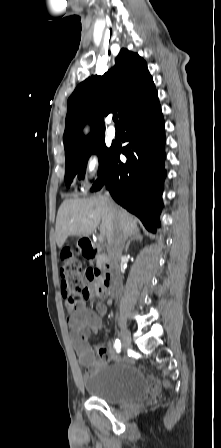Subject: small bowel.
<instances>
[{
	"instance_id": "1",
	"label": "small bowel",
	"mask_w": 221,
	"mask_h": 448,
	"mask_svg": "<svg viewBox=\"0 0 221 448\" xmlns=\"http://www.w3.org/2000/svg\"><path fill=\"white\" fill-rule=\"evenodd\" d=\"M92 295H97L100 298L106 297L100 280L92 281L87 285L83 299L77 304L66 302L69 338L81 365L88 372L96 370L104 361L120 362L123 360L110 348L95 350L87 341L90 332L100 333L102 331V317L107 313V307L102 303L97 305L96 310L88 307V299Z\"/></svg>"
}]
</instances>
